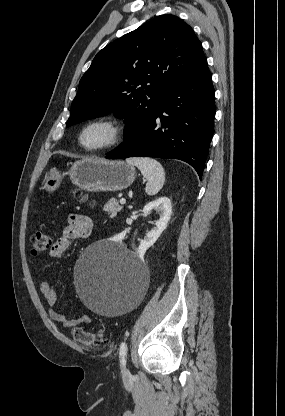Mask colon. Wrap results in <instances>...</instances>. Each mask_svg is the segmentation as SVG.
Here are the masks:
<instances>
[{
  "mask_svg": "<svg viewBox=\"0 0 285 416\" xmlns=\"http://www.w3.org/2000/svg\"><path fill=\"white\" fill-rule=\"evenodd\" d=\"M74 195L78 198H84L81 191H74ZM52 245V239L50 235L44 231H38L30 236L31 252L34 255L40 254L50 248ZM72 335L75 340L81 344L89 347H98L103 343V333L88 332L81 327H73Z\"/></svg>",
  "mask_w": 285,
  "mask_h": 416,
  "instance_id": "colon-1",
  "label": "colon"
}]
</instances>
